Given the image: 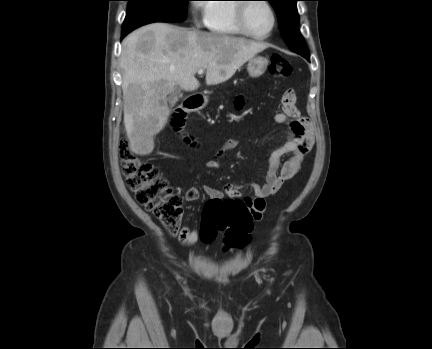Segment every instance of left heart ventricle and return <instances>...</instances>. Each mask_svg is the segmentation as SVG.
I'll return each mask as SVG.
<instances>
[{"mask_svg": "<svg viewBox=\"0 0 432 349\" xmlns=\"http://www.w3.org/2000/svg\"><path fill=\"white\" fill-rule=\"evenodd\" d=\"M246 21L251 32L264 35L272 26V15L265 4L253 3L247 10Z\"/></svg>", "mask_w": 432, "mask_h": 349, "instance_id": "left-heart-ventricle-1", "label": "left heart ventricle"}]
</instances>
